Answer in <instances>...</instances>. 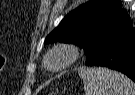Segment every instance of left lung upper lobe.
Returning a JSON list of instances; mask_svg holds the SVG:
<instances>
[{"instance_id":"obj_1","label":"left lung upper lobe","mask_w":135,"mask_h":95,"mask_svg":"<svg viewBox=\"0 0 135 95\" xmlns=\"http://www.w3.org/2000/svg\"><path fill=\"white\" fill-rule=\"evenodd\" d=\"M130 25L131 18L119 0H91L67 14L44 43L76 44L84 48L88 59L106 36Z\"/></svg>"}]
</instances>
